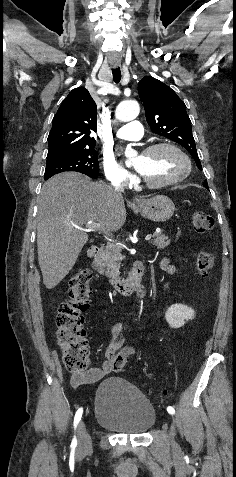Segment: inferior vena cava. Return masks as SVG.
Wrapping results in <instances>:
<instances>
[{"mask_svg":"<svg viewBox=\"0 0 236 477\" xmlns=\"http://www.w3.org/2000/svg\"><path fill=\"white\" fill-rule=\"evenodd\" d=\"M112 185L114 187L115 192L122 196V193L124 192L123 184L120 182H113Z\"/></svg>","mask_w":236,"mask_h":477,"instance_id":"inferior-vena-cava-1","label":"inferior vena cava"}]
</instances>
